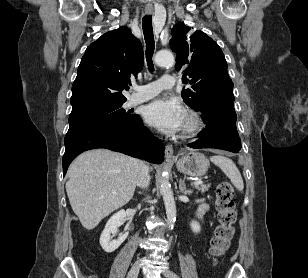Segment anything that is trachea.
Returning <instances> with one entry per match:
<instances>
[{
	"label": "trachea",
	"mask_w": 308,
	"mask_h": 278,
	"mask_svg": "<svg viewBox=\"0 0 308 278\" xmlns=\"http://www.w3.org/2000/svg\"><path fill=\"white\" fill-rule=\"evenodd\" d=\"M142 28L144 33V38L146 42V59L148 70L153 71L152 55L154 52V37H153V28H152V16L145 15L142 19Z\"/></svg>",
	"instance_id": "trachea-1"
}]
</instances>
